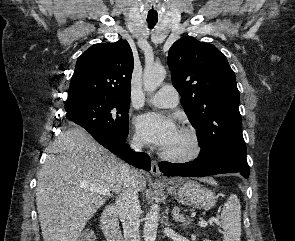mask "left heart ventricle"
<instances>
[{"label": "left heart ventricle", "mask_w": 295, "mask_h": 241, "mask_svg": "<svg viewBox=\"0 0 295 241\" xmlns=\"http://www.w3.org/2000/svg\"><path fill=\"white\" fill-rule=\"evenodd\" d=\"M191 147V142L188 136L179 131L174 142L165 151L174 154H181L187 152Z\"/></svg>", "instance_id": "b2bd125f"}]
</instances>
